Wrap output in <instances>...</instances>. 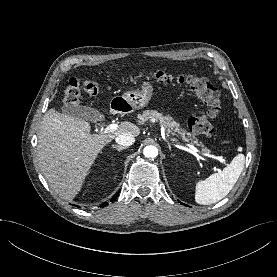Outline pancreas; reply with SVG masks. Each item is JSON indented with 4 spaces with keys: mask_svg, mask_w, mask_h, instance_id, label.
<instances>
[{
    "mask_svg": "<svg viewBox=\"0 0 277 277\" xmlns=\"http://www.w3.org/2000/svg\"><path fill=\"white\" fill-rule=\"evenodd\" d=\"M139 123L143 124L145 121L159 122L160 125L164 126L167 134L175 135L179 134L183 140L190 141L191 143L203 147L202 143L191 133L187 132L184 128H181L179 123H177L171 116H163L162 113L155 110H147L142 115H138ZM202 150H209L203 147ZM210 151V150H209Z\"/></svg>",
    "mask_w": 277,
    "mask_h": 277,
    "instance_id": "obj_1",
    "label": "pancreas"
}]
</instances>
